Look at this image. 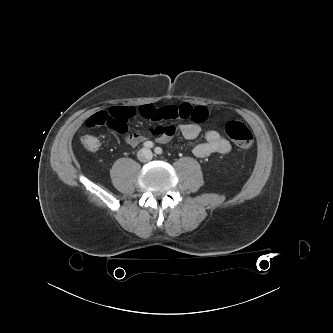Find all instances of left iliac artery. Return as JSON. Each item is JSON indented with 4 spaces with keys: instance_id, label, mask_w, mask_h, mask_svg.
Instances as JSON below:
<instances>
[{
    "instance_id": "1",
    "label": "left iliac artery",
    "mask_w": 333,
    "mask_h": 333,
    "mask_svg": "<svg viewBox=\"0 0 333 333\" xmlns=\"http://www.w3.org/2000/svg\"><path fill=\"white\" fill-rule=\"evenodd\" d=\"M154 152H155L156 154H162V148H160V147H156V148L154 149Z\"/></svg>"
}]
</instances>
